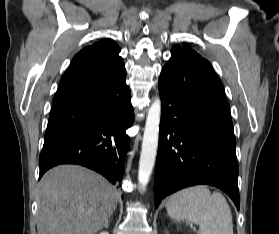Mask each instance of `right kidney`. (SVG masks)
Returning <instances> with one entry per match:
<instances>
[{
  "mask_svg": "<svg viewBox=\"0 0 279 234\" xmlns=\"http://www.w3.org/2000/svg\"><path fill=\"white\" fill-rule=\"evenodd\" d=\"M99 234H109L107 231L100 232Z\"/></svg>",
  "mask_w": 279,
  "mask_h": 234,
  "instance_id": "ca27d5eb",
  "label": "right kidney"
}]
</instances>
